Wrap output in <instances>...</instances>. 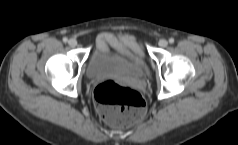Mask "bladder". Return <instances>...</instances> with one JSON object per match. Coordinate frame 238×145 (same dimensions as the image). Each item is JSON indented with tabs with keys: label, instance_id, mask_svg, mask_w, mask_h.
Returning <instances> with one entry per match:
<instances>
[{
	"label": "bladder",
	"instance_id": "obj_1",
	"mask_svg": "<svg viewBox=\"0 0 238 145\" xmlns=\"http://www.w3.org/2000/svg\"><path fill=\"white\" fill-rule=\"evenodd\" d=\"M86 74L91 79H97L109 74L127 77L145 78L149 67L144 61H134L120 52L109 53L96 49L86 63Z\"/></svg>",
	"mask_w": 238,
	"mask_h": 145
}]
</instances>
